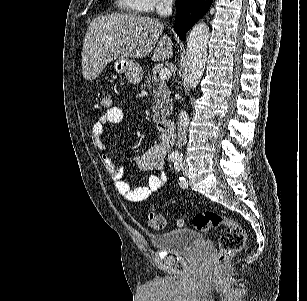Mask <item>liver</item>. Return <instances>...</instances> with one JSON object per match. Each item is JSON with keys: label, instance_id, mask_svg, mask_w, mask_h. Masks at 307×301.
Segmentation results:
<instances>
[{"label": "liver", "instance_id": "6515ba94", "mask_svg": "<svg viewBox=\"0 0 307 301\" xmlns=\"http://www.w3.org/2000/svg\"><path fill=\"white\" fill-rule=\"evenodd\" d=\"M165 26L156 18L137 14H103L91 20L82 46V72L94 80L113 58H143L153 50ZM173 42L162 34L152 60L173 56Z\"/></svg>", "mask_w": 307, "mask_h": 301}]
</instances>
